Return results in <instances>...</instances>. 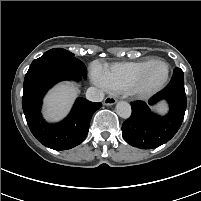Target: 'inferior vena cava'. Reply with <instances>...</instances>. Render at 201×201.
Listing matches in <instances>:
<instances>
[{
  "instance_id": "1",
  "label": "inferior vena cava",
  "mask_w": 201,
  "mask_h": 201,
  "mask_svg": "<svg viewBox=\"0 0 201 201\" xmlns=\"http://www.w3.org/2000/svg\"><path fill=\"white\" fill-rule=\"evenodd\" d=\"M86 98L91 102H101L104 99V93L96 87H89L86 91Z\"/></svg>"
}]
</instances>
